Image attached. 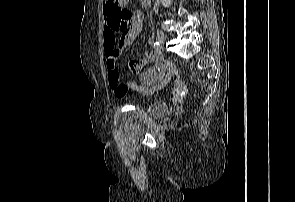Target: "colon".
<instances>
[{
	"label": "colon",
	"instance_id": "colon-1",
	"mask_svg": "<svg viewBox=\"0 0 295 202\" xmlns=\"http://www.w3.org/2000/svg\"><path fill=\"white\" fill-rule=\"evenodd\" d=\"M129 0H105V12L120 21V27L125 28L129 20L128 10L125 9Z\"/></svg>",
	"mask_w": 295,
	"mask_h": 202
}]
</instances>
